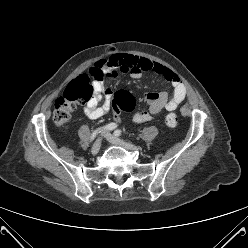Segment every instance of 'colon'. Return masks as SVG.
<instances>
[{"label": "colon", "mask_w": 248, "mask_h": 248, "mask_svg": "<svg viewBox=\"0 0 248 248\" xmlns=\"http://www.w3.org/2000/svg\"><path fill=\"white\" fill-rule=\"evenodd\" d=\"M90 74L94 78H99L101 76V73L96 70H90ZM94 96L95 90L90 83L89 75H78L67 85L63 96L56 100L53 111L54 122L57 125L66 124L71 119L77 104L89 102ZM132 108V97L127 93H119L114 98L113 119L115 121H120L122 119L120 111H130ZM165 122L168 127H174L177 124V116L174 113H170L166 116Z\"/></svg>", "instance_id": "colon-1"}]
</instances>
